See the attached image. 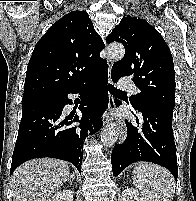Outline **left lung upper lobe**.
<instances>
[{
	"label": "left lung upper lobe",
	"instance_id": "5c2ea615",
	"mask_svg": "<svg viewBox=\"0 0 196 201\" xmlns=\"http://www.w3.org/2000/svg\"><path fill=\"white\" fill-rule=\"evenodd\" d=\"M121 42L125 47L122 60L112 66V77L133 76L141 90L130 97L134 109L145 102H154L174 109L175 73L173 58L163 37L147 21L126 16L106 42Z\"/></svg>",
	"mask_w": 196,
	"mask_h": 201
}]
</instances>
